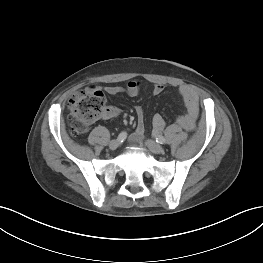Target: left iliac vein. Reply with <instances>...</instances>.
<instances>
[{"mask_svg":"<svg viewBox=\"0 0 263 263\" xmlns=\"http://www.w3.org/2000/svg\"><path fill=\"white\" fill-rule=\"evenodd\" d=\"M146 145L149 148V150L155 154H161L164 152L163 147L153 140H147Z\"/></svg>","mask_w":263,"mask_h":263,"instance_id":"obj_1","label":"left iliac vein"}]
</instances>
